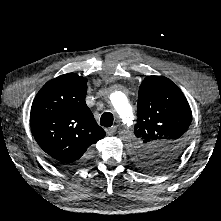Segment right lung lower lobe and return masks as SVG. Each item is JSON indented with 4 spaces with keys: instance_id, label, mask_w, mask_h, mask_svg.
<instances>
[{
    "instance_id": "98d812e1",
    "label": "right lung lower lobe",
    "mask_w": 221,
    "mask_h": 221,
    "mask_svg": "<svg viewBox=\"0 0 221 221\" xmlns=\"http://www.w3.org/2000/svg\"><path fill=\"white\" fill-rule=\"evenodd\" d=\"M56 164H58V165H61V166H63V167H72V166H75V165H77V164H79L80 162H78V163H76V164H71V165H65V164H60V163H57V162H55Z\"/></svg>"
}]
</instances>
